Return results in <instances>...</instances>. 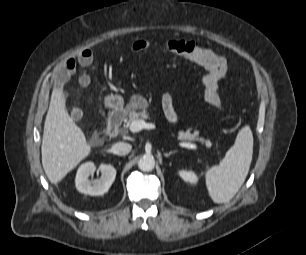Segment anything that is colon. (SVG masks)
<instances>
[{"mask_svg": "<svg viewBox=\"0 0 306 255\" xmlns=\"http://www.w3.org/2000/svg\"><path fill=\"white\" fill-rule=\"evenodd\" d=\"M149 43L144 39L133 42L132 49L135 52H145ZM167 48L207 71L203 78L205 100L217 110L224 112V106L219 96V81L227 72V63L224 58L209 49L202 48L192 41L172 40L167 42Z\"/></svg>", "mask_w": 306, "mask_h": 255, "instance_id": "5ec220e1", "label": "colon"}]
</instances>
